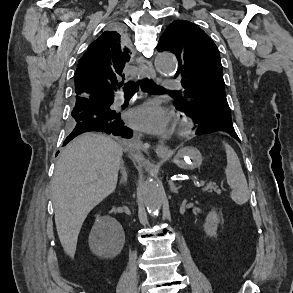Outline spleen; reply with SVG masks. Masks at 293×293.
<instances>
[{"mask_svg":"<svg viewBox=\"0 0 293 293\" xmlns=\"http://www.w3.org/2000/svg\"><path fill=\"white\" fill-rule=\"evenodd\" d=\"M224 148L227 157L225 174L227 182L232 189L230 196L236 204L243 205L250 196L247 180L234 149L227 143H224Z\"/></svg>","mask_w":293,"mask_h":293,"instance_id":"1","label":"spleen"}]
</instances>
